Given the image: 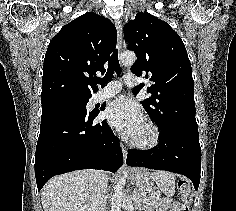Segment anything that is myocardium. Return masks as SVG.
<instances>
[{
  "label": "myocardium",
  "instance_id": "myocardium-1",
  "mask_svg": "<svg viewBox=\"0 0 236 211\" xmlns=\"http://www.w3.org/2000/svg\"><path fill=\"white\" fill-rule=\"evenodd\" d=\"M142 122L145 124L147 129V138L138 139L129 135L127 137L128 143L139 149H151L158 145L160 141V129L157 124L148 117H144Z\"/></svg>",
  "mask_w": 236,
  "mask_h": 211
}]
</instances>
